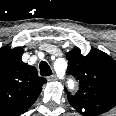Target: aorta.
I'll return each instance as SVG.
<instances>
[{
	"label": "aorta",
	"mask_w": 116,
	"mask_h": 116,
	"mask_svg": "<svg viewBox=\"0 0 116 116\" xmlns=\"http://www.w3.org/2000/svg\"><path fill=\"white\" fill-rule=\"evenodd\" d=\"M69 87L73 88L74 87V82L71 81L70 84H69Z\"/></svg>",
	"instance_id": "obj_1"
}]
</instances>
